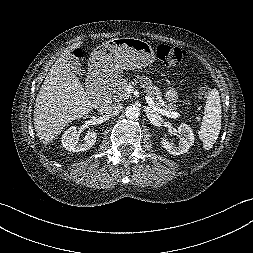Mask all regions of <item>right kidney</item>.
Segmentation results:
<instances>
[{
    "instance_id": "ca27d5eb",
    "label": "right kidney",
    "mask_w": 253,
    "mask_h": 253,
    "mask_svg": "<svg viewBox=\"0 0 253 253\" xmlns=\"http://www.w3.org/2000/svg\"><path fill=\"white\" fill-rule=\"evenodd\" d=\"M96 138L97 133L92 131L85 136L83 143L79 142L77 129L75 126H71L62 136V145L68 151L82 152L90 149L95 144Z\"/></svg>"
}]
</instances>
